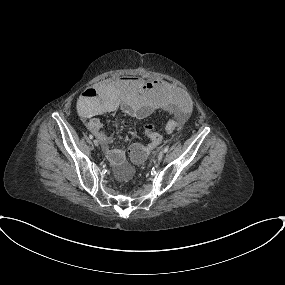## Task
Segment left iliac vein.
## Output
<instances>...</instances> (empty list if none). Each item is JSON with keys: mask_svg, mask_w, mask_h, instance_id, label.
<instances>
[{"mask_svg": "<svg viewBox=\"0 0 285 285\" xmlns=\"http://www.w3.org/2000/svg\"><path fill=\"white\" fill-rule=\"evenodd\" d=\"M163 156H164V151H160V152L158 153V156H157L158 160H159V161L162 160Z\"/></svg>", "mask_w": 285, "mask_h": 285, "instance_id": "1", "label": "left iliac vein"}]
</instances>
